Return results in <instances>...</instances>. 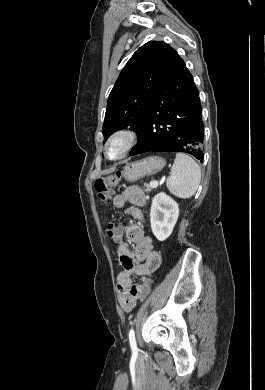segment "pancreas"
<instances>
[{"label":"pancreas","instance_id":"1","mask_svg":"<svg viewBox=\"0 0 265 390\" xmlns=\"http://www.w3.org/2000/svg\"><path fill=\"white\" fill-rule=\"evenodd\" d=\"M144 187H145V190L147 192H150L153 188H156V187L152 186L151 183L150 184H145Z\"/></svg>","mask_w":265,"mask_h":390}]
</instances>
